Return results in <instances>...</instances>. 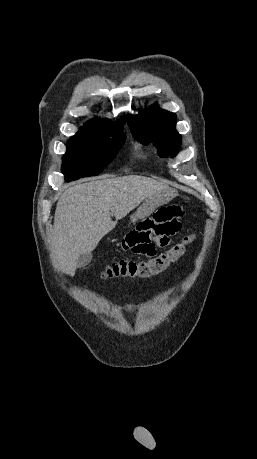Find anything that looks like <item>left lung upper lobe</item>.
Returning a JSON list of instances; mask_svg holds the SVG:
<instances>
[{"label":"left lung upper lobe","instance_id":"5c2ea615","mask_svg":"<svg viewBox=\"0 0 257 459\" xmlns=\"http://www.w3.org/2000/svg\"><path fill=\"white\" fill-rule=\"evenodd\" d=\"M127 123L134 138L142 144L153 142L160 156H175L181 144L176 131V114L160 109L156 104L138 115H127Z\"/></svg>","mask_w":257,"mask_h":459}]
</instances>
